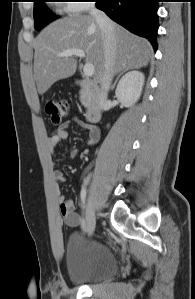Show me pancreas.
Listing matches in <instances>:
<instances>
[{"instance_id":"cf45deb5","label":"pancreas","mask_w":195,"mask_h":299,"mask_svg":"<svg viewBox=\"0 0 195 299\" xmlns=\"http://www.w3.org/2000/svg\"><path fill=\"white\" fill-rule=\"evenodd\" d=\"M88 98H89V94L87 93V91L81 92L80 100L85 107L89 105Z\"/></svg>"}]
</instances>
